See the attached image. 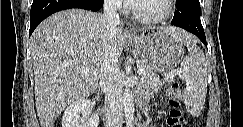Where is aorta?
Here are the masks:
<instances>
[{
	"mask_svg": "<svg viewBox=\"0 0 243 127\" xmlns=\"http://www.w3.org/2000/svg\"><path fill=\"white\" fill-rule=\"evenodd\" d=\"M123 106L124 114L126 118V124L128 127H132L134 122V98L133 94L130 91V88L126 86L123 93Z\"/></svg>",
	"mask_w": 243,
	"mask_h": 127,
	"instance_id": "1",
	"label": "aorta"
}]
</instances>
